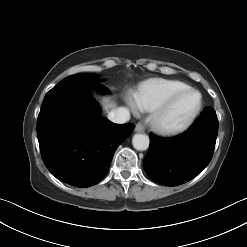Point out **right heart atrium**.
<instances>
[{
	"label": "right heart atrium",
	"mask_w": 247,
	"mask_h": 247,
	"mask_svg": "<svg viewBox=\"0 0 247 247\" xmlns=\"http://www.w3.org/2000/svg\"><path fill=\"white\" fill-rule=\"evenodd\" d=\"M127 103H128V105L130 106V108L132 110L136 111V110L139 109L138 105H137V102H136V100L134 98V95L131 94V93L127 95Z\"/></svg>",
	"instance_id": "1"
}]
</instances>
